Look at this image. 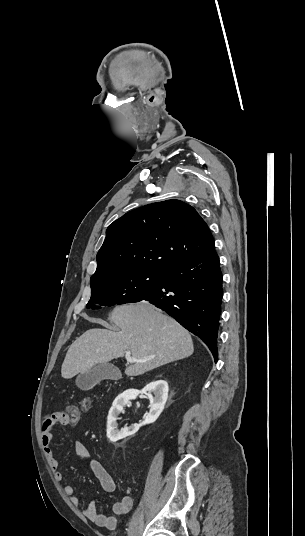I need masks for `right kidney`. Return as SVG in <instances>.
Here are the masks:
<instances>
[{"label":"right kidney","instance_id":"right-kidney-1","mask_svg":"<svg viewBox=\"0 0 305 536\" xmlns=\"http://www.w3.org/2000/svg\"><path fill=\"white\" fill-rule=\"evenodd\" d=\"M143 392H148V400H150V412L145 418L144 424H153L159 418L161 412L164 410V406L168 398V384L165 380H156V382H150L145 386ZM154 394V396H152ZM135 390H126L120 396H117L116 400L113 402V406L108 414L107 418V438L110 442H117V440H123L127 436H131L133 432H130L129 428H123V430H118L117 420L118 416L123 412L125 404L128 400L134 398Z\"/></svg>","mask_w":305,"mask_h":536}]
</instances>
